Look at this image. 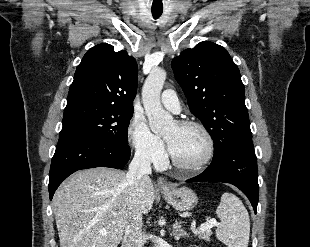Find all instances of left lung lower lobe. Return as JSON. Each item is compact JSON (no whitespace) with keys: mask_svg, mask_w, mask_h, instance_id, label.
<instances>
[{"mask_svg":"<svg viewBox=\"0 0 310 247\" xmlns=\"http://www.w3.org/2000/svg\"><path fill=\"white\" fill-rule=\"evenodd\" d=\"M214 181L238 187L250 200L254 212L258 204V172L252 140L234 145L218 157L200 175L186 182Z\"/></svg>","mask_w":310,"mask_h":247,"instance_id":"left-lung-lower-lobe-1","label":"left lung lower lobe"}]
</instances>
